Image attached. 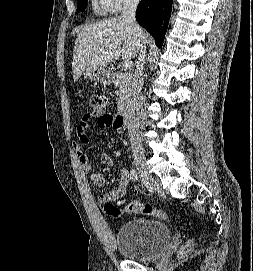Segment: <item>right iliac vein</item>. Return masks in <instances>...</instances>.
I'll return each mask as SVG.
<instances>
[{
  "label": "right iliac vein",
  "mask_w": 253,
  "mask_h": 271,
  "mask_svg": "<svg viewBox=\"0 0 253 271\" xmlns=\"http://www.w3.org/2000/svg\"><path fill=\"white\" fill-rule=\"evenodd\" d=\"M134 161L143 183L153 185L154 181L148 172L144 151L139 150L134 152Z\"/></svg>",
  "instance_id": "right-iliac-vein-1"
}]
</instances>
